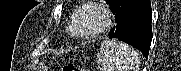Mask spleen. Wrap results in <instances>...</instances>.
Returning <instances> with one entry per match:
<instances>
[{
  "instance_id": "1",
  "label": "spleen",
  "mask_w": 181,
  "mask_h": 71,
  "mask_svg": "<svg viewBox=\"0 0 181 71\" xmlns=\"http://www.w3.org/2000/svg\"><path fill=\"white\" fill-rule=\"evenodd\" d=\"M97 62L101 71H139L140 59L127 44L103 40Z\"/></svg>"
}]
</instances>
